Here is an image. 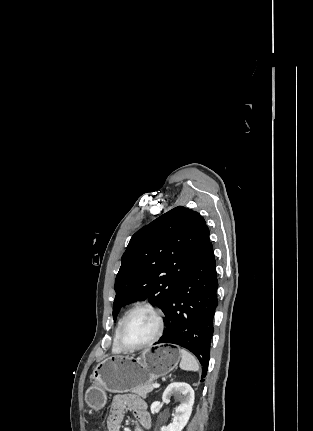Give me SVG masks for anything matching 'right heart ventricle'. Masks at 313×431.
I'll return each instance as SVG.
<instances>
[{"label":"right heart ventricle","mask_w":313,"mask_h":431,"mask_svg":"<svg viewBox=\"0 0 313 431\" xmlns=\"http://www.w3.org/2000/svg\"><path fill=\"white\" fill-rule=\"evenodd\" d=\"M129 311H130L129 309H126V310L122 313V315L120 316V318H119V320H118L117 326H116V328H115V333H114V340H113L112 350H113L114 352H116V353H119V352L123 351V350L118 346V344H117V339H116V338H117V333H118L119 327H120V325H121V323H122L123 319L125 318V316L127 315V313H128Z\"/></svg>","instance_id":"1"}]
</instances>
